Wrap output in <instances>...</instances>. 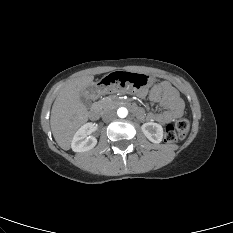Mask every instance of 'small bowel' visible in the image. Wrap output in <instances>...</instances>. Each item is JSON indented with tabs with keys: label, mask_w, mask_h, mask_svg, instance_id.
I'll use <instances>...</instances> for the list:
<instances>
[{
	"label": "small bowel",
	"mask_w": 233,
	"mask_h": 233,
	"mask_svg": "<svg viewBox=\"0 0 233 233\" xmlns=\"http://www.w3.org/2000/svg\"><path fill=\"white\" fill-rule=\"evenodd\" d=\"M146 90L138 92L139 97H145ZM149 99L158 103L163 111L160 113H149L147 115L141 110L140 118H146L148 121L167 124L180 117L183 114L184 104L178 92L169 83L154 87L149 92Z\"/></svg>",
	"instance_id": "1"
}]
</instances>
